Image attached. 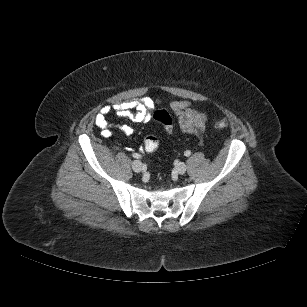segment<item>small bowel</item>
Returning <instances> with one entry per match:
<instances>
[{"label": "small bowel", "mask_w": 307, "mask_h": 307, "mask_svg": "<svg viewBox=\"0 0 307 307\" xmlns=\"http://www.w3.org/2000/svg\"><path fill=\"white\" fill-rule=\"evenodd\" d=\"M158 104H160L159 100H154L150 97H141L123 103L113 104L112 106H104L96 114L94 122L101 130V135L109 138L112 135V130L107 116L112 111L118 116L134 123H147L151 119L153 109ZM169 107L177 116L179 128L183 133L194 135L197 138L202 137L208 121L207 116L203 112L193 108L191 103L186 100H173L169 103ZM117 128L126 135L133 133V128L127 124H121Z\"/></svg>", "instance_id": "c3829d8e"}]
</instances>
